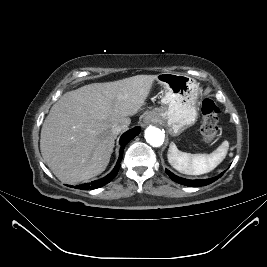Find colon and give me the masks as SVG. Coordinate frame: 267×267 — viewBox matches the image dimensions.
<instances>
[{
  "label": "colon",
  "instance_id": "obj_1",
  "mask_svg": "<svg viewBox=\"0 0 267 267\" xmlns=\"http://www.w3.org/2000/svg\"><path fill=\"white\" fill-rule=\"evenodd\" d=\"M203 122L200 133L204 141L213 142L218 136V114L219 108L211 99H205L201 106Z\"/></svg>",
  "mask_w": 267,
  "mask_h": 267
}]
</instances>
